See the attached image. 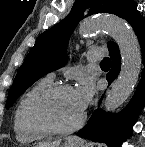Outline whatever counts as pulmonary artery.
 I'll use <instances>...</instances> for the list:
<instances>
[{"label":"pulmonary artery","instance_id":"e3ab8cb5","mask_svg":"<svg viewBox=\"0 0 145 147\" xmlns=\"http://www.w3.org/2000/svg\"><path fill=\"white\" fill-rule=\"evenodd\" d=\"M105 53L102 49L100 48H93L91 50H89L87 52V59L91 62H94V61H97V60H100L104 57ZM49 78H53L54 77V74L51 73L48 75Z\"/></svg>","mask_w":145,"mask_h":147}]
</instances>
